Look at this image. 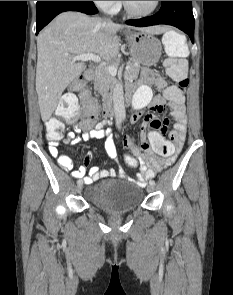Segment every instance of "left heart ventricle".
<instances>
[{"mask_svg": "<svg viewBox=\"0 0 233 295\" xmlns=\"http://www.w3.org/2000/svg\"><path fill=\"white\" fill-rule=\"evenodd\" d=\"M132 10L145 13L152 9L155 1H127Z\"/></svg>", "mask_w": 233, "mask_h": 295, "instance_id": "left-heart-ventricle-1", "label": "left heart ventricle"}]
</instances>
